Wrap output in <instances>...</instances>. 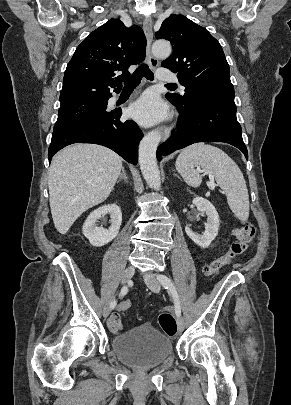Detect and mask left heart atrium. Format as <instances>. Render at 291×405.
<instances>
[{
    "instance_id": "obj_1",
    "label": "left heart atrium",
    "mask_w": 291,
    "mask_h": 405,
    "mask_svg": "<svg viewBox=\"0 0 291 405\" xmlns=\"http://www.w3.org/2000/svg\"><path fill=\"white\" fill-rule=\"evenodd\" d=\"M129 113L143 125L150 126L166 119L168 108L156 94L148 92L132 104Z\"/></svg>"
}]
</instances>
